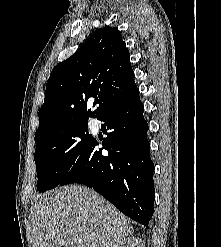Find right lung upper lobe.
Here are the masks:
<instances>
[{
  "instance_id": "right-lung-upper-lobe-1",
  "label": "right lung upper lobe",
  "mask_w": 221,
  "mask_h": 247,
  "mask_svg": "<svg viewBox=\"0 0 221 247\" xmlns=\"http://www.w3.org/2000/svg\"><path fill=\"white\" fill-rule=\"evenodd\" d=\"M129 51L116 28L96 30L70 58L57 64L46 84L35 138L71 122L88 121L137 89ZM98 96L94 112L90 97Z\"/></svg>"
}]
</instances>
